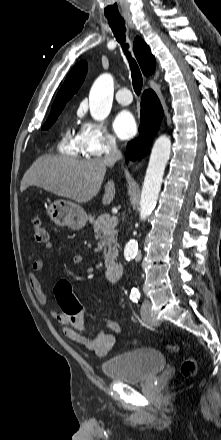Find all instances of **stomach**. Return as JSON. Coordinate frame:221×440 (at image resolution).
<instances>
[{
  "label": "stomach",
  "instance_id": "1",
  "mask_svg": "<svg viewBox=\"0 0 221 440\" xmlns=\"http://www.w3.org/2000/svg\"><path fill=\"white\" fill-rule=\"evenodd\" d=\"M48 215L58 226H67L73 230L82 229L89 219L80 205L62 199L50 204Z\"/></svg>",
  "mask_w": 221,
  "mask_h": 440
}]
</instances>
